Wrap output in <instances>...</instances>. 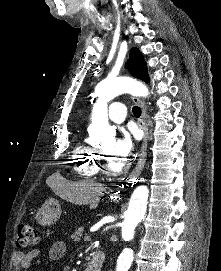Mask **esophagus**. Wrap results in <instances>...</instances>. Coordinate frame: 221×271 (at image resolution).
I'll return each mask as SVG.
<instances>
[{
    "instance_id": "esophagus-1",
    "label": "esophagus",
    "mask_w": 221,
    "mask_h": 271,
    "mask_svg": "<svg viewBox=\"0 0 221 271\" xmlns=\"http://www.w3.org/2000/svg\"><path fill=\"white\" fill-rule=\"evenodd\" d=\"M133 101L134 103L138 104L141 107L142 114H141V119L139 120V126L144 131V137H143V141L141 145V151H140V157H139L138 163L135 166L134 170L130 173L129 175L130 178H135L136 176H139L143 170L146 157H147V145H148V134H149L148 126L146 123L147 112H146L144 103L142 102L140 98H137L135 96L133 97Z\"/></svg>"
}]
</instances>
